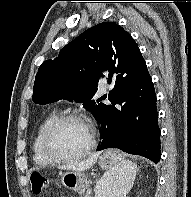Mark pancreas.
<instances>
[{
	"label": "pancreas",
	"mask_w": 191,
	"mask_h": 197,
	"mask_svg": "<svg viewBox=\"0 0 191 197\" xmlns=\"http://www.w3.org/2000/svg\"><path fill=\"white\" fill-rule=\"evenodd\" d=\"M84 197H90L89 195H85Z\"/></svg>",
	"instance_id": "pancreas-1"
}]
</instances>
